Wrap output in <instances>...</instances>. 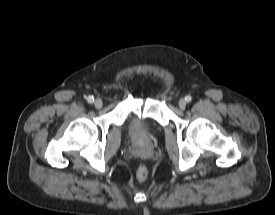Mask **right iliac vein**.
<instances>
[{
    "label": "right iliac vein",
    "mask_w": 275,
    "mask_h": 215,
    "mask_svg": "<svg viewBox=\"0 0 275 215\" xmlns=\"http://www.w3.org/2000/svg\"><path fill=\"white\" fill-rule=\"evenodd\" d=\"M94 106H95L97 109L102 108V106H103L102 100H101V99H96L95 102H94Z\"/></svg>",
    "instance_id": "obj_1"
}]
</instances>
